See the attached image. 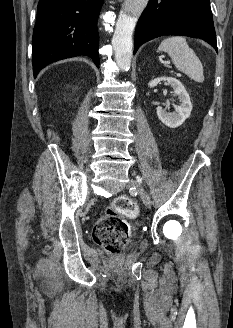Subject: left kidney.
I'll return each mask as SVG.
<instances>
[{"instance_id":"1","label":"left kidney","mask_w":233,"mask_h":328,"mask_svg":"<svg viewBox=\"0 0 233 328\" xmlns=\"http://www.w3.org/2000/svg\"><path fill=\"white\" fill-rule=\"evenodd\" d=\"M161 81H167L173 88L174 94L178 96L180 105H174V112H167L162 107H157V116L166 126L170 128L179 127L191 114L192 103L190 97L183 84L173 77L155 78L148 83V86L151 88L155 87Z\"/></svg>"}]
</instances>
